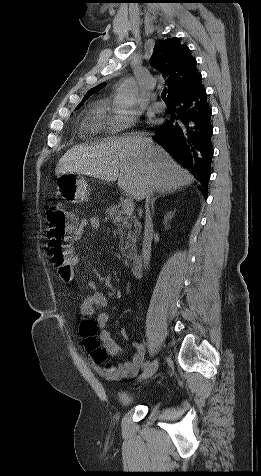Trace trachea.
Instances as JSON below:
<instances>
[{
  "label": "trachea",
  "mask_w": 261,
  "mask_h": 476,
  "mask_svg": "<svg viewBox=\"0 0 261 476\" xmlns=\"http://www.w3.org/2000/svg\"><path fill=\"white\" fill-rule=\"evenodd\" d=\"M161 98H162L164 101H167V99H166V91H163V92L161 93Z\"/></svg>",
  "instance_id": "3493384b"
}]
</instances>
